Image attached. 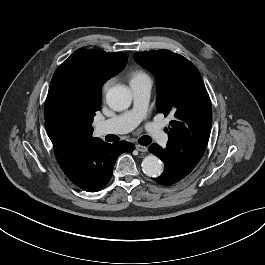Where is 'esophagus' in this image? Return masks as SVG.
<instances>
[{"label": "esophagus", "instance_id": "34e87169", "mask_svg": "<svg viewBox=\"0 0 265 265\" xmlns=\"http://www.w3.org/2000/svg\"><path fill=\"white\" fill-rule=\"evenodd\" d=\"M136 149L139 151V152H147L148 148L146 146H143V145H140V144H137L136 145Z\"/></svg>", "mask_w": 265, "mask_h": 265}]
</instances>
